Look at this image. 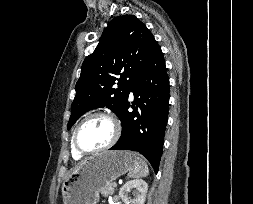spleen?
Instances as JSON below:
<instances>
[{
    "instance_id": "3e777b00",
    "label": "spleen",
    "mask_w": 253,
    "mask_h": 204,
    "mask_svg": "<svg viewBox=\"0 0 253 204\" xmlns=\"http://www.w3.org/2000/svg\"><path fill=\"white\" fill-rule=\"evenodd\" d=\"M149 174V168L145 160L136 157L134 169L128 174L130 178L146 177Z\"/></svg>"
}]
</instances>
